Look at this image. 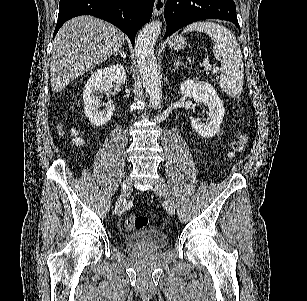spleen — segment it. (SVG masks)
<instances>
[{
    "mask_svg": "<svg viewBox=\"0 0 307 301\" xmlns=\"http://www.w3.org/2000/svg\"><path fill=\"white\" fill-rule=\"evenodd\" d=\"M192 30L206 32L214 40L213 54L221 62L218 84L228 96L239 98L244 84V64L236 36L222 24L210 20L192 22L185 26L183 32H192Z\"/></svg>",
    "mask_w": 307,
    "mask_h": 301,
    "instance_id": "3e777b00",
    "label": "spleen"
}]
</instances>
